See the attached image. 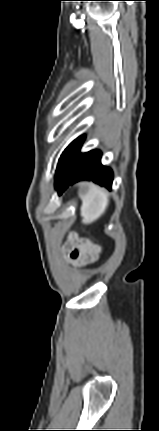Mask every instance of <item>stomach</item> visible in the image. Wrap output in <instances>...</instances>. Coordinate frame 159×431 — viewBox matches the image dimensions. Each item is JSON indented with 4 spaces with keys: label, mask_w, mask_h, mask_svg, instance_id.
Returning a JSON list of instances; mask_svg holds the SVG:
<instances>
[{
    "label": "stomach",
    "mask_w": 159,
    "mask_h": 431,
    "mask_svg": "<svg viewBox=\"0 0 159 431\" xmlns=\"http://www.w3.org/2000/svg\"><path fill=\"white\" fill-rule=\"evenodd\" d=\"M90 188L88 186H85L82 188L83 196H86L90 192Z\"/></svg>",
    "instance_id": "0dacf381"
}]
</instances>
